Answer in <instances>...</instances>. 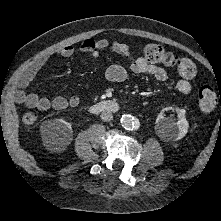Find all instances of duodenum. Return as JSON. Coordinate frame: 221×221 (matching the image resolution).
<instances>
[{
	"instance_id": "obj_1",
	"label": "duodenum",
	"mask_w": 221,
	"mask_h": 221,
	"mask_svg": "<svg viewBox=\"0 0 221 221\" xmlns=\"http://www.w3.org/2000/svg\"><path fill=\"white\" fill-rule=\"evenodd\" d=\"M119 109V105L113 100H104L92 104L89 110L94 113L99 112H116Z\"/></svg>"
}]
</instances>
